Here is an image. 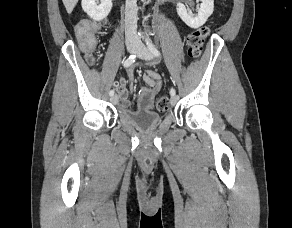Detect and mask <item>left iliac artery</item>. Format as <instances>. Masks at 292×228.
<instances>
[{
    "instance_id": "1",
    "label": "left iliac artery",
    "mask_w": 292,
    "mask_h": 228,
    "mask_svg": "<svg viewBox=\"0 0 292 228\" xmlns=\"http://www.w3.org/2000/svg\"><path fill=\"white\" fill-rule=\"evenodd\" d=\"M146 44H147V46H148L150 52H151L154 56H156V57H160V56H161L160 51H159V50H158V49L152 44V42H151L148 38H146ZM170 95H171V96L176 95V91H175L174 88H171V89H170Z\"/></svg>"
}]
</instances>
